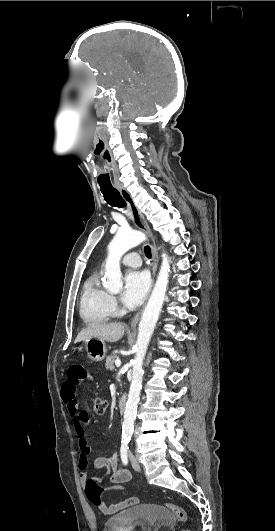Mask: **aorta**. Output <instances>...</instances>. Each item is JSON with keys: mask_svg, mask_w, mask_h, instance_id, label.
I'll use <instances>...</instances> for the list:
<instances>
[{"mask_svg": "<svg viewBox=\"0 0 275 531\" xmlns=\"http://www.w3.org/2000/svg\"><path fill=\"white\" fill-rule=\"evenodd\" d=\"M142 241H144V235H142L140 231H132V229H128V231H126V229H121V231H118L115 237H113L111 243L108 245V255L105 261V273L102 283L107 291H120V289H122L123 281L121 277L120 261L129 249L137 247ZM162 257V265L160 267L157 281L150 295V299L142 313L138 327L135 357L132 361V381L122 423V435H126V437L133 435L134 421L137 415V407L143 381V361L167 291L170 263L167 255H162Z\"/></svg>", "mask_w": 275, "mask_h": 531, "instance_id": "1", "label": "aorta"}]
</instances>
